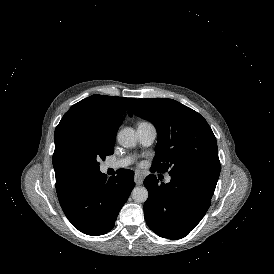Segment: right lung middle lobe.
<instances>
[{
    "instance_id": "obj_1",
    "label": "right lung middle lobe",
    "mask_w": 274,
    "mask_h": 274,
    "mask_svg": "<svg viewBox=\"0 0 274 274\" xmlns=\"http://www.w3.org/2000/svg\"><path fill=\"white\" fill-rule=\"evenodd\" d=\"M116 134L117 130H91L82 137L68 141L61 159L78 176L98 172V160L114 153Z\"/></svg>"
}]
</instances>
